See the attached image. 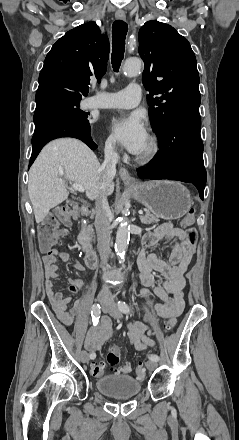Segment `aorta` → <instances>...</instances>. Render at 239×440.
<instances>
[{
    "label": "aorta",
    "instance_id": "1",
    "mask_svg": "<svg viewBox=\"0 0 239 440\" xmlns=\"http://www.w3.org/2000/svg\"><path fill=\"white\" fill-rule=\"evenodd\" d=\"M141 68L142 60H126L123 70L128 78H134V76H138ZM128 242L129 226L126 218H123L122 222L119 224L115 242V252L117 256L121 258V262L124 260L126 250L128 248Z\"/></svg>",
    "mask_w": 239,
    "mask_h": 440
}]
</instances>
